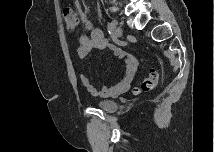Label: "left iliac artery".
<instances>
[{"mask_svg": "<svg viewBox=\"0 0 215 152\" xmlns=\"http://www.w3.org/2000/svg\"><path fill=\"white\" fill-rule=\"evenodd\" d=\"M115 24L113 22L108 23L107 30L110 35L114 34Z\"/></svg>", "mask_w": 215, "mask_h": 152, "instance_id": "44dca946", "label": "left iliac artery"}]
</instances>
